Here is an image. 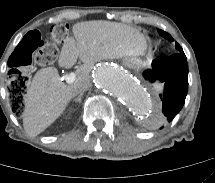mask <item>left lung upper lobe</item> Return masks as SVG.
I'll use <instances>...</instances> for the list:
<instances>
[{
    "mask_svg": "<svg viewBox=\"0 0 215 183\" xmlns=\"http://www.w3.org/2000/svg\"><path fill=\"white\" fill-rule=\"evenodd\" d=\"M159 34L161 36H163L164 38L173 41V38L170 36V34H168L167 32L163 31V30H158ZM176 49L179 53H183V49L176 43Z\"/></svg>",
    "mask_w": 215,
    "mask_h": 183,
    "instance_id": "5c2ea615",
    "label": "left lung upper lobe"
}]
</instances>
